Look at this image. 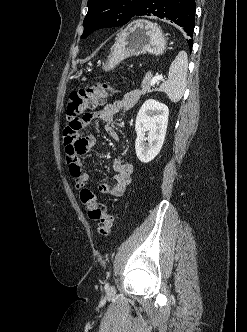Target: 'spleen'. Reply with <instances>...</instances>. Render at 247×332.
I'll use <instances>...</instances> for the list:
<instances>
[{"label": "spleen", "instance_id": "3e777b00", "mask_svg": "<svg viewBox=\"0 0 247 332\" xmlns=\"http://www.w3.org/2000/svg\"><path fill=\"white\" fill-rule=\"evenodd\" d=\"M188 58L185 51H180L169 67L168 79L163 82L159 91L165 92L172 102H178L187 86Z\"/></svg>", "mask_w": 247, "mask_h": 332}]
</instances>
